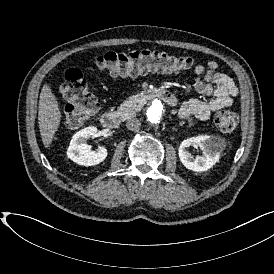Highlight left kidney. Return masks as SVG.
Returning <instances> with one entry per match:
<instances>
[{
  "label": "left kidney",
  "mask_w": 274,
  "mask_h": 274,
  "mask_svg": "<svg viewBox=\"0 0 274 274\" xmlns=\"http://www.w3.org/2000/svg\"><path fill=\"white\" fill-rule=\"evenodd\" d=\"M190 146L200 147L203 154L195 158L187 150ZM224 150V140L218 136L199 135L183 140L178 149V155L182 164L195 172L206 171L213 167Z\"/></svg>",
  "instance_id": "5707ae66"
}]
</instances>
